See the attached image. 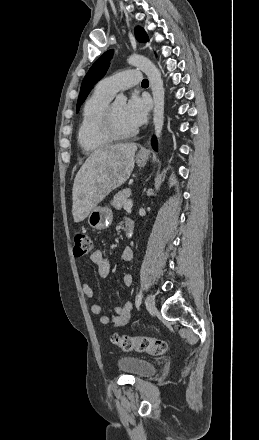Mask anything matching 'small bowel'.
<instances>
[{
    "label": "small bowel",
    "mask_w": 259,
    "mask_h": 440,
    "mask_svg": "<svg viewBox=\"0 0 259 440\" xmlns=\"http://www.w3.org/2000/svg\"><path fill=\"white\" fill-rule=\"evenodd\" d=\"M134 252L132 248L126 247L122 252V260L124 262H129L133 259ZM90 261L97 267L98 275L102 278H106L110 274L111 266L107 257L103 254L102 251L96 250L90 255ZM133 278L130 274H125L123 276V284L126 287H130L132 285ZM82 289L84 294L88 298H92L94 296V291L89 283L84 282L82 285ZM132 303L125 302L123 305L117 306L114 308L115 314L113 316H108L102 314V307L99 304H93L91 306V312L96 315H100L99 322L103 326L114 325L116 327H122L126 325L131 318L132 311Z\"/></svg>",
    "instance_id": "small-bowel-1"
}]
</instances>
